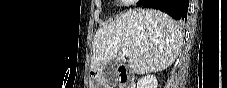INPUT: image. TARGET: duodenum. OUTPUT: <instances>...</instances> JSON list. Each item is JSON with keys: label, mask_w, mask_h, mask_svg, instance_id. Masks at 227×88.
Listing matches in <instances>:
<instances>
[{"label": "duodenum", "mask_w": 227, "mask_h": 88, "mask_svg": "<svg viewBox=\"0 0 227 88\" xmlns=\"http://www.w3.org/2000/svg\"><path fill=\"white\" fill-rule=\"evenodd\" d=\"M119 78L123 88H135V80L131 72L123 64L119 65Z\"/></svg>", "instance_id": "duodenum-1"}]
</instances>
